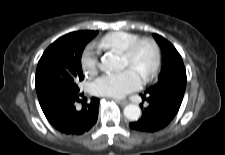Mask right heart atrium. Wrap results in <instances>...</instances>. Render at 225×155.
<instances>
[{
  "instance_id": "right-heart-atrium-1",
  "label": "right heart atrium",
  "mask_w": 225,
  "mask_h": 155,
  "mask_svg": "<svg viewBox=\"0 0 225 155\" xmlns=\"http://www.w3.org/2000/svg\"><path fill=\"white\" fill-rule=\"evenodd\" d=\"M81 67L87 76H93L97 73L99 61L97 53L92 46H88L81 57Z\"/></svg>"
}]
</instances>
